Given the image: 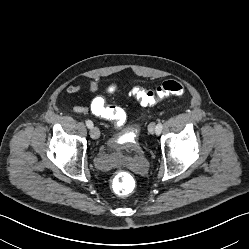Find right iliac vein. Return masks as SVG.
I'll use <instances>...</instances> for the list:
<instances>
[{
	"label": "right iliac vein",
	"instance_id": "1",
	"mask_svg": "<svg viewBox=\"0 0 249 249\" xmlns=\"http://www.w3.org/2000/svg\"><path fill=\"white\" fill-rule=\"evenodd\" d=\"M90 135L93 139H98L100 137V130L97 127H92Z\"/></svg>",
	"mask_w": 249,
	"mask_h": 249
}]
</instances>
